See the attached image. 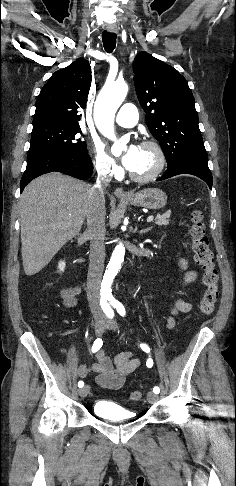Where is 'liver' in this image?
Listing matches in <instances>:
<instances>
[{
  "mask_svg": "<svg viewBox=\"0 0 236 486\" xmlns=\"http://www.w3.org/2000/svg\"><path fill=\"white\" fill-rule=\"evenodd\" d=\"M91 187L58 172L30 182L20 197L23 269L41 271L69 240L79 234Z\"/></svg>",
  "mask_w": 236,
  "mask_h": 486,
  "instance_id": "liver-1",
  "label": "liver"
}]
</instances>
